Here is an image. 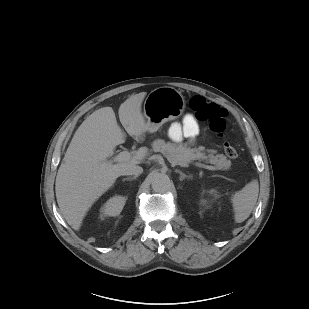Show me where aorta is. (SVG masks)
Wrapping results in <instances>:
<instances>
[{
	"mask_svg": "<svg viewBox=\"0 0 309 309\" xmlns=\"http://www.w3.org/2000/svg\"><path fill=\"white\" fill-rule=\"evenodd\" d=\"M151 186L155 192L164 193L168 191L170 188V179L165 174L161 173L155 174L152 177Z\"/></svg>",
	"mask_w": 309,
	"mask_h": 309,
	"instance_id": "762f6f07",
	"label": "aorta"
}]
</instances>
